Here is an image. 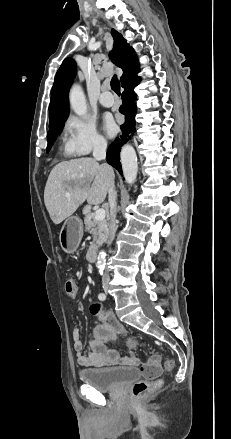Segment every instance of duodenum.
I'll return each mask as SVG.
<instances>
[{"label":"duodenum","mask_w":231,"mask_h":439,"mask_svg":"<svg viewBox=\"0 0 231 439\" xmlns=\"http://www.w3.org/2000/svg\"><path fill=\"white\" fill-rule=\"evenodd\" d=\"M86 259L90 263H94L97 260V249L96 247L92 246L88 249L86 253Z\"/></svg>","instance_id":"duodenum-1"}]
</instances>
